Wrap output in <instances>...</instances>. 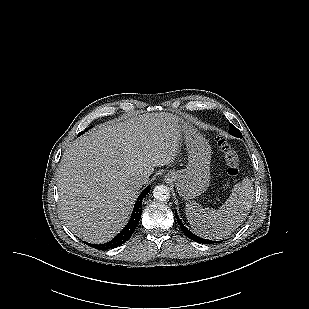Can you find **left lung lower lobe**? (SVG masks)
I'll return each mask as SVG.
<instances>
[{
    "mask_svg": "<svg viewBox=\"0 0 309 309\" xmlns=\"http://www.w3.org/2000/svg\"><path fill=\"white\" fill-rule=\"evenodd\" d=\"M176 219L178 221V224L180 225L183 233L191 240L196 241L198 243H204V244H209V243H214L213 241L207 240V239H203L201 237H198L196 235H194L191 231H189L184 225L183 223H181L180 219L178 218V216L176 215Z\"/></svg>",
    "mask_w": 309,
    "mask_h": 309,
    "instance_id": "1",
    "label": "left lung lower lobe"
}]
</instances>
